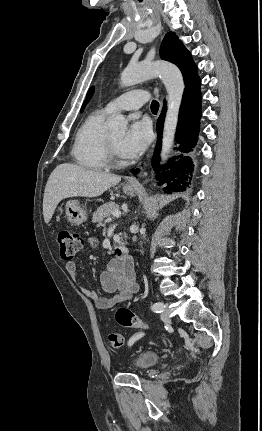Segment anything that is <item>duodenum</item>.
Wrapping results in <instances>:
<instances>
[{"label":"duodenum","instance_id":"1","mask_svg":"<svg viewBox=\"0 0 262 431\" xmlns=\"http://www.w3.org/2000/svg\"><path fill=\"white\" fill-rule=\"evenodd\" d=\"M118 253H119L120 257L123 259H127L129 256L128 250L123 246L119 247Z\"/></svg>","mask_w":262,"mask_h":431}]
</instances>
